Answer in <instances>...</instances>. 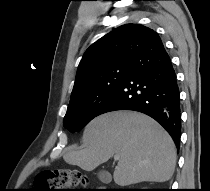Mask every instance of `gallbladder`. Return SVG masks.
<instances>
[{
    "instance_id": "1",
    "label": "gallbladder",
    "mask_w": 210,
    "mask_h": 191,
    "mask_svg": "<svg viewBox=\"0 0 210 191\" xmlns=\"http://www.w3.org/2000/svg\"><path fill=\"white\" fill-rule=\"evenodd\" d=\"M104 174H106V173H105V172H104V173H102V175H104ZM102 175H101V176H102ZM109 181H110V177H109Z\"/></svg>"
}]
</instances>
